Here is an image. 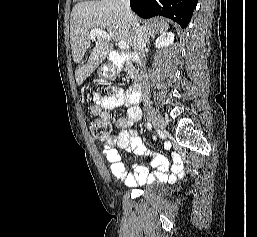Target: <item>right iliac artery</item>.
<instances>
[{
    "label": "right iliac artery",
    "instance_id": "right-iliac-artery-1",
    "mask_svg": "<svg viewBox=\"0 0 257 237\" xmlns=\"http://www.w3.org/2000/svg\"><path fill=\"white\" fill-rule=\"evenodd\" d=\"M147 128H148V130H151V128H152V126L149 122L147 123Z\"/></svg>",
    "mask_w": 257,
    "mask_h": 237
}]
</instances>
